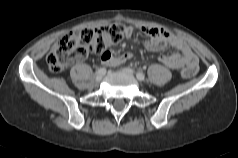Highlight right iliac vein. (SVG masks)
I'll use <instances>...</instances> for the list:
<instances>
[{"instance_id":"63e3f726","label":"right iliac vein","mask_w":238,"mask_h":158,"mask_svg":"<svg viewBox=\"0 0 238 158\" xmlns=\"http://www.w3.org/2000/svg\"><path fill=\"white\" fill-rule=\"evenodd\" d=\"M95 79L97 82H100L102 80V75L101 74L97 75Z\"/></svg>"}]
</instances>
